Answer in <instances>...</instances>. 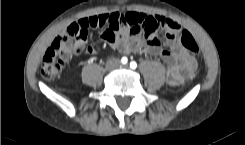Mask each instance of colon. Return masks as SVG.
<instances>
[{"instance_id":"obj_1","label":"colon","mask_w":245,"mask_h":145,"mask_svg":"<svg viewBox=\"0 0 245 145\" xmlns=\"http://www.w3.org/2000/svg\"><path fill=\"white\" fill-rule=\"evenodd\" d=\"M82 21V23H80ZM148 25L137 27L130 25L131 32H155L163 27L166 22L164 17H149ZM105 24L103 15L94 16L70 23L63 35L57 37L50 45L43 57L41 64L42 76L46 79L56 78L62 71L65 61L73 55L85 53V47L81 42L86 38L89 28L103 26ZM173 30L179 29L175 23H171ZM178 37L181 43L191 52L198 51V45L193 37L185 30H180Z\"/></svg>"}]
</instances>
